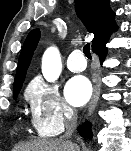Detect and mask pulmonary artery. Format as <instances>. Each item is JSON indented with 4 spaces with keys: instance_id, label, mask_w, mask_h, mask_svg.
<instances>
[{
    "instance_id": "1",
    "label": "pulmonary artery",
    "mask_w": 131,
    "mask_h": 151,
    "mask_svg": "<svg viewBox=\"0 0 131 151\" xmlns=\"http://www.w3.org/2000/svg\"><path fill=\"white\" fill-rule=\"evenodd\" d=\"M86 65V60L80 50H74L67 59V67L72 72H82Z\"/></svg>"
}]
</instances>
